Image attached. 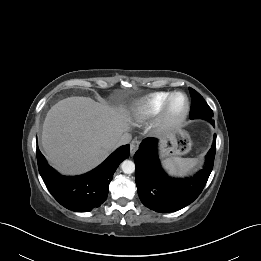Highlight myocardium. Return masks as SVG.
I'll use <instances>...</instances> for the list:
<instances>
[{"label":"myocardium","instance_id":"myocardium-1","mask_svg":"<svg viewBox=\"0 0 261 261\" xmlns=\"http://www.w3.org/2000/svg\"><path fill=\"white\" fill-rule=\"evenodd\" d=\"M182 96L185 99V108L179 115H173L171 111L172 102L175 97ZM190 111V101L188 96L183 92L171 93L166 101L160 116L155 124V128L159 132H169L180 127L187 119Z\"/></svg>","mask_w":261,"mask_h":261}]
</instances>
